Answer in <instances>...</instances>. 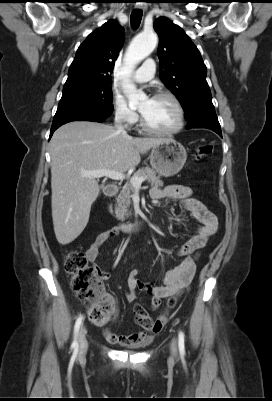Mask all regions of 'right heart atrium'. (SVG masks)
<instances>
[{"mask_svg": "<svg viewBox=\"0 0 272 401\" xmlns=\"http://www.w3.org/2000/svg\"><path fill=\"white\" fill-rule=\"evenodd\" d=\"M111 105L116 120L126 127L133 126L138 116L134 110H132L126 103L123 97L117 94H113L111 99Z\"/></svg>", "mask_w": 272, "mask_h": 401, "instance_id": "1", "label": "right heart atrium"}]
</instances>
